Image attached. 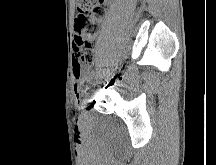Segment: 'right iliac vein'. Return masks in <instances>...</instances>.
Masks as SVG:
<instances>
[{
	"mask_svg": "<svg viewBox=\"0 0 216 165\" xmlns=\"http://www.w3.org/2000/svg\"><path fill=\"white\" fill-rule=\"evenodd\" d=\"M97 78L98 77L95 75L92 80L90 79V83H89V93L90 94L87 96V100L85 101L86 105H89L90 102L92 101V96L94 95L93 94L94 93V84H95Z\"/></svg>",
	"mask_w": 216,
	"mask_h": 165,
	"instance_id": "63e3f726",
	"label": "right iliac vein"
}]
</instances>
